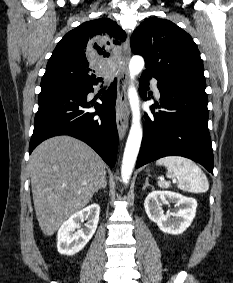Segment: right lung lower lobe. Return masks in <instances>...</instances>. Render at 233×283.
I'll use <instances>...</instances> for the list:
<instances>
[{
    "instance_id": "1",
    "label": "right lung lower lobe",
    "mask_w": 233,
    "mask_h": 283,
    "mask_svg": "<svg viewBox=\"0 0 233 283\" xmlns=\"http://www.w3.org/2000/svg\"><path fill=\"white\" fill-rule=\"evenodd\" d=\"M51 86L42 88L38 97L34 131L29 153L45 139L70 135L92 147L102 159L114 167L118 147L115 119L116 85L101 97L102 104L87 102L92 86ZM116 84V80L114 81ZM94 105L96 112L86 110Z\"/></svg>"
}]
</instances>
